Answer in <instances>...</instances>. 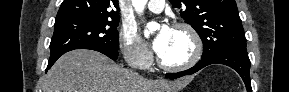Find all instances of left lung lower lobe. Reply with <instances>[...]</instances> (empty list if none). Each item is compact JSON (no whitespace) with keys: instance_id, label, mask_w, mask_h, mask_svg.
<instances>
[{"instance_id":"left-lung-lower-lobe-1","label":"left lung lower lobe","mask_w":289,"mask_h":92,"mask_svg":"<svg viewBox=\"0 0 289 92\" xmlns=\"http://www.w3.org/2000/svg\"><path fill=\"white\" fill-rule=\"evenodd\" d=\"M211 64H223L233 68L242 77L247 92H252L250 82V60L246 50L241 49H228L216 52L206 57H202L201 60L192 68L178 72L166 74L169 79H177L185 75H191L199 71L205 66Z\"/></svg>"}]
</instances>
